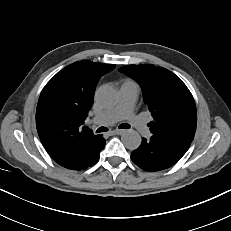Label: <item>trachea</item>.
Wrapping results in <instances>:
<instances>
[{
	"mask_svg": "<svg viewBox=\"0 0 231 231\" xmlns=\"http://www.w3.org/2000/svg\"><path fill=\"white\" fill-rule=\"evenodd\" d=\"M119 128L128 129V128H130V125L127 124V123H124V124L119 125ZM106 131H108V128H106V127H99V128L96 130L97 133L106 132Z\"/></svg>",
	"mask_w": 231,
	"mask_h": 231,
	"instance_id": "3493384b",
	"label": "trachea"
}]
</instances>
